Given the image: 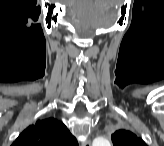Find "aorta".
I'll list each match as a JSON object with an SVG mask.
<instances>
[{"instance_id": "aorta-1", "label": "aorta", "mask_w": 164, "mask_h": 146, "mask_svg": "<svg viewBox=\"0 0 164 146\" xmlns=\"http://www.w3.org/2000/svg\"><path fill=\"white\" fill-rule=\"evenodd\" d=\"M93 146H111V143L108 139L103 137H97L93 140Z\"/></svg>"}]
</instances>
